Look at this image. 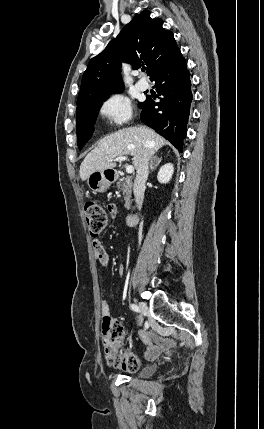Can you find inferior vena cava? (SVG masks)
<instances>
[{
	"mask_svg": "<svg viewBox=\"0 0 264 429\" xmlns=\"http://www.w3.org/2000/svg\"><path fill=\"white\" fill-rule=\"evenodd\" d=\"M150 158L151 153L149 151L144 152L136 168L137 174L134 180L133 192L138 209L141 208L144 199L145 183L149 174L148 166Z\"/></svg>",
	"mask_w": 264,
	"mask_h": 429,
	"instance_id": "1",
	"label": "inferior vena cava"
}]
</instances>
